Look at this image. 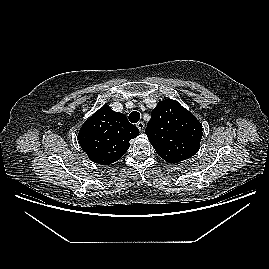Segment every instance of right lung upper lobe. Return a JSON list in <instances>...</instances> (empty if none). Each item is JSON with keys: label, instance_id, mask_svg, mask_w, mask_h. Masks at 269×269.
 <instances>
[{"label": "right lung upper lobe", "instance_id": "1", "mask_svg": "<svg viewBox=\"0 0 269 269\" xmlns=\"http://www.w3.org/2000/svg\"><path fill=\"white\" fill-rule=\"evenodd\" d=\"M138 134V128L124 114L104 105L82 125L78 140L91 161L109 165L125 154L129 141Z\"/></svg>", "mask_w": 269, "mask_h": 269}]
</instances>
